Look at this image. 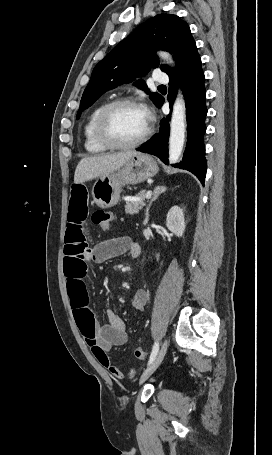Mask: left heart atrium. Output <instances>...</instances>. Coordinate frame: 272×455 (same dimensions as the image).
<instances>
[{"label":"left heart atrium","instance_id":"39dd6f15","mask_svg":"<svg viewBox=\"0 0 272 455\" xmlns=\"http://www.w3.org/2000/svg\"><path fill=\"white\" fill-rule=\"evenodd\" d=\"M144 111H145V113H146V115H147V111H146L145 109H144Z\"/></svg>","mask_w":272,"mask_h":455}]
</instances>
